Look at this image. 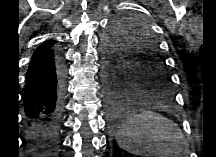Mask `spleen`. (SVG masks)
Instances as JSON below:
<instances>
[{
    "mask_svg": "<svg viewBox=\"0 0 216 157\" xmlns=\"http://www.w3.org/2000/svg\"><path fill=\"white\" fill-rule=\"evenodd\" d=\"M174 124L156 113L145 111L129 117L117 132L119 147L133 155L173 151L183 136Z\"/></svg>",
    "mask_w": 216,
    "mask_h": 157,
    "instance_id": "1",
    "label": "spleen"
}]
</instances>
